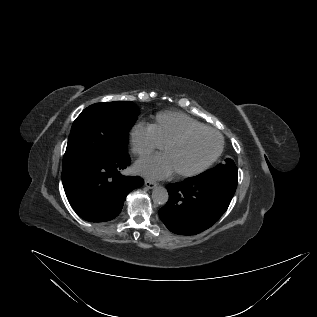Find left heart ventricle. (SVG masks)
<instances>
[{
  "mask_svg": "<svg viewBox=\"0 0 317 317\" xmlns=\"http://www.w3.org/2000/svg\"><path fill=\"white\" fill-rule=\"evenodd\" d=\"M219 146V137L212 132L189 136L183 142L168 148L167 156L174 172L194 169L208 160Z\"/></svg>",
  "mask_w": 317,
  "mask_h": 317,
  "instance_id": "obj_1",
  "label": "left heart ventricle"
}]
</instances>
